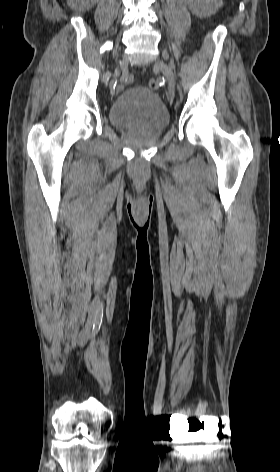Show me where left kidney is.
Returning <instances> with one entry per match:
<instances>
[{
  "label": "left kidney",
  "instance_id": "5707ae66",
  "mask_svg": "<svg viewBox=\"0 0 280 472\" xmlns=\"http://www.w3.org/2000/svg\"><path fill=\"white\" fill-rule=\"evenodd\" d=\"M191 12L199 17H208L216 13L221 0H185Z\"/></svg>",
  "mask_w": 280,
  "mask_h": 472
}]
</instances>
